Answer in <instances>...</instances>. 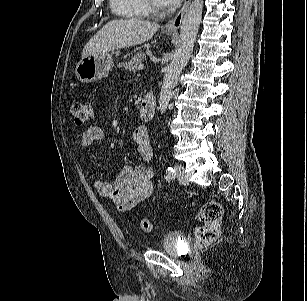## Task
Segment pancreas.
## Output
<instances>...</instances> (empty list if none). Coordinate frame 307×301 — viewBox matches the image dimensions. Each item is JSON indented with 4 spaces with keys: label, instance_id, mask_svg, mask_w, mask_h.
Masks as SVG:
<instances>
[{
    "label": "pancreas",
    "instance_id": "1",
    "mask_svg": "<svg viewBox=\"0 0 307 301\" xmlns=\"http://www.w3.org/2000/svg\"><path fill=\"white\" fill-rule=\"evenodd\" d=\"M146 59V55L143 52H137L136 55L131 57L129 62L123 63L122 66L129 71L134 72L138 67L139 63H142Z\"/></svg>",
    "mask_w": 307,
    "mask_h": 301
}]
</instances>
